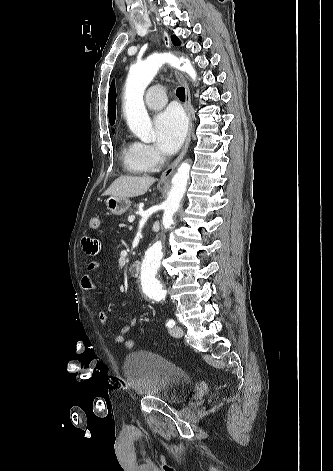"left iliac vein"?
<instances>
[{
    "label": "left iliac vein",
    "instance_id": "obj_1",
    "mask_svg": "<svg viewBox=\"0 0 333 471\" xmlns=\"http://www.w3.org/2000/svg\"><path fill=\"white\" fill-rule=\"evenodd\" d=\"M170 334H171L173 337L180 338V337L183 336L184 331H183V329H182L180 326H175V327H173L172 329H170Z\"/></svg>",
    "mask_w": 333,
    "mask_h": 471
}]
</instances>
